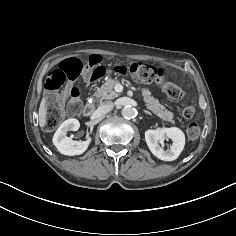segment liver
<instances>
[{"label":"liver","instance_id":"6515ba94","mask_svg":"<svg viewBox=\"0 0 236 236\" xmlns=\"http://www.w3.org/2000/svg\"><path fill=\"white\" fill-rule=\"evenodd\" d=\"M38 117H39V125L41 128H43L46 125V118H47V108H46L45 97L42 98V101L40 103Z\"/></svg>","mask_w":236,"mask_h":236}]
</instances>
